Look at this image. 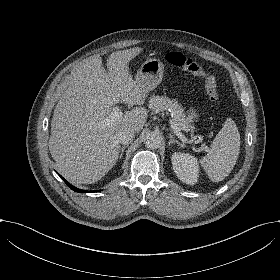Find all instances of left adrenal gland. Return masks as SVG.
Returning <instances> with one entry per match:
<instances>
[{
    "label": "left adrenal gland",
    "mask_w": 280,
    "mask_h": 280,
    "mask_svg": "<svg viewBox=\"0 0 280 280\" xmlns=\"http://www.w3.org/2000/svg\"><path fill=\"white\" fill-rule=\"evenodd\" d=\"M170 140L168 142V144H172V143H176L178 146L180 147H184V144H182L181 142H179L178 140H176L172 134H169Z\"/></svg>",
    "instance_id": "left-adrenal-gland-1"
}]
</instances>
